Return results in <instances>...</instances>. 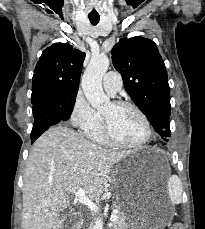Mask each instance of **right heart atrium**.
I'll use <instances>...</instances> for the list:
<instances>
[{"mask_svg":"<svg viewBox=\"0 0 205 229\" xmlns=\"http://www.w3.org/2000/svg\"><path fill=\"white\" fill-rule=\"evenodd\" d=\"M69 117L74 127L85 132L97 123L99 114L92 108L83 93L79 91L72 102Z\"/></svg>","mask_w":205,"mask_h":229,"instance_id":"obj_1","label":"right heart atrium"}]
</instances>
